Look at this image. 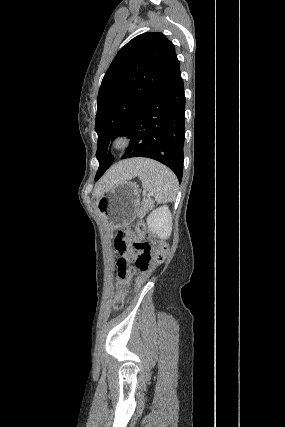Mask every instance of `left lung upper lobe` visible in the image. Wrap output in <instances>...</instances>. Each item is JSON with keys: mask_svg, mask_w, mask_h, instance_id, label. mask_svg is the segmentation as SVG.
Wrapping results in <instances>:
<instances>
[{"mask_svg": "<svg viewBox=\"0 0 285 427\" xmlns=\"http://www.w3.org/2000/svg\"><path fill=\"white\" fill-rule=\"evenodd\" d=\"M178 62L174 44L147 32L120 49L104 75L97 98L95 131L98 180L113 162L110 142L126 135L132 121Z\"/></svg>", "mask_w": 285, "mask_h": 427, "instance_id": "1", "label": "left lung upper lobe"}]
</instances>
